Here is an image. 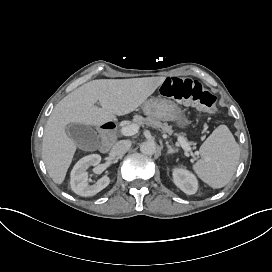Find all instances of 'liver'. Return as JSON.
<instances>
[{"instance_id":"liver-1","label":"liver","mask_w":272,"mask_h":272,"mask_svg":"<svg viewBox=\"0 0 272 272\" xmlns=\"http://www.w3.org/2000/svg\"><path fill=\"white\" fill-rule=\"evenodd\" d=\"M166 77L100 79L88 82L54 107L44 129L42 157L53 182L61 185L77 150L67 135L70 123L101 127L137 110ZM100 102L102 108L95 106Z\"/></svg>"}]
</instances>
